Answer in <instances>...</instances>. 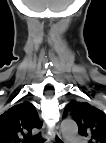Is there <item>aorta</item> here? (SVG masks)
Listing matches in <instances>:
<instances>
[{
  "label": "aorta",
  "mask_w": 106,
  "mask_h": 143,
  "mask_svg": "<svg viewBox=\"0 0 106 143\" xmlns=\"http://www.w3.org/2000/svg\"><path fill=\"white\" fill-rule=\"evenodd\" d=\"M63 138L66 141H70L75 138L78 133V127L75 121L71 119H65L60 126Z\"/></svg>",
  "instance_id": "aorta-1"
}]
</instances>
